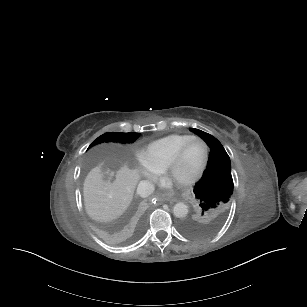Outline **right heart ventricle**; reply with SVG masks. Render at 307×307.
<instances>
[{
  "mask_svg": "<svg viewBox=\"0 0 307 307\" xmlns=\"http://www.w3.org/2000/svg\"><path fill=\"white\" fill-rule=\"evenodd\" d=\"M190 137L192 136L189 134H168L154 141L135 145L131 153L151 167H162Z\"/></svg>",
  "mask_w": 307,
  "mask_h": 307,
  "instance_id": "1",
  "label": "right heart ventricle"
}]
</instances>
